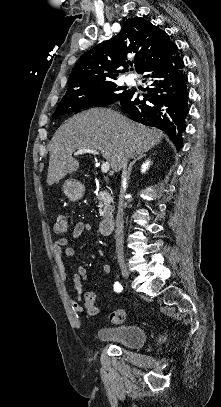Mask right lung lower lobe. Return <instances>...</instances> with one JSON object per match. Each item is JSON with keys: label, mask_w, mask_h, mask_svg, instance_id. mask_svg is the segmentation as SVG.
Segmentation results:
<instances>
[{"label": "right lung lower lobe", "mask_w": 221, "mask_h": 407, "mask_svg": "<svg viewBox=\"0 0 221 407\" xmlns=\"http://www.w3.org/2000/svg\"><path fill=\"white\" fill-rule=\"evenodd\" d=\"M140 74L145 78L143 82L149 84L144 93L130 90L116 102L134 121L166 132L180 149L189 110L188 78L177 46L172 42L166 54L150 63ZM140 95L144 97L142 100Z\"/></svg>", "instance_id": "right-lung-lower-lobe-1"}]
</instances>
